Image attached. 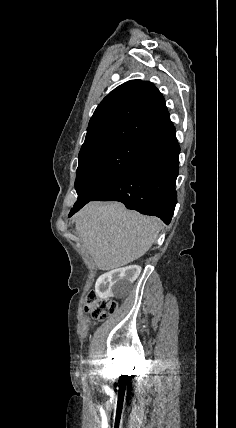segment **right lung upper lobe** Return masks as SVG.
<instances>
[{"instance_id":"cb5924a9","label":"right lung upper lobe","mask_w":236,"mask_h":428,"mask_svg":"<svg viewBox=\"0 0 236 428\" xmlns=\"http://www.w3.org/2000/svg\"><path fill=\"white\" fill-rule=\"evenodd\" d=\"M168 121L165 100L151 82L127 81L111 91L96 108L79 160L124 141H141Z\"/></svg>"}]
</instances>
